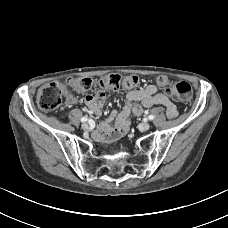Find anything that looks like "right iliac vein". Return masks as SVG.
I'll return each mask as SVG.
<instances>
[{"instance_id":"right-iliac-vein-1","label":"right iliac vein","mask_w":228,"mask_h":228,"mask_svg":"<svg viewBox=\"0 0 228 228\" xmlns=\"http://www.w3.org/2000/svg\"><path fill=\"white\" fill-rule=\"evenodd\" d=\"M81 127H82L83 130H88V128H89V126H88L87 123H83V124L81 125Z\"/></svg>"}]
</instances>
